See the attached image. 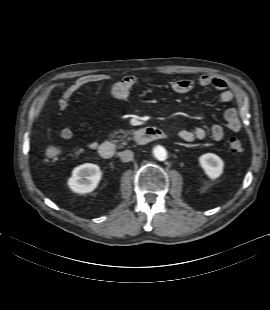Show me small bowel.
Listing matches in <instances>:
<instances>
[{"instance_id": "obj_1", "label": "small bowel", "mask_w": 270, "mask_h": 310, "mask_svg": "<svg viewBox=\"0 0 270 310\" xmlns=\"http://www.w3.org/2000/svg\"><path fill=\"white\" fill-rule=\"evenodd\" d=\"M110 79L106 74H87L77 78L71 85H69L63 92L62 96L57 102V106L60 110H65L72 99V97L82 88L101 83ZM137 79L134 76H125L113 84L111 88V95L116 101H124ZM197 84L203 87L212 86L220 92L219 100L222 103L230 102L234 99L235 93L232 91L225 80L214 77L209 74L201 75L198 78ZM196 83L191 79H179L171 83V88L175 93L185 94L191 92ZM227 128L232 132H238L242 128V123L238 115L236 108L231 107L225 110L224 113ZM224 127L220 124L212 125L210 129L211 137L219 141L224 137ZM60 135L65 140H70L74 137V131L65 127L60 131ZM208 133L201 127H193L191 129H184L179 132V137L186 142H193L204 140ZM84 145L89 149H95L97 142L94 140H86Z\"/></svg>"}]
</instances>
